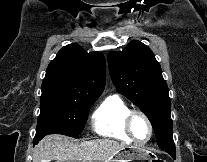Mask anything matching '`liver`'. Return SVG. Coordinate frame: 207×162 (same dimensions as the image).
Segmentation results:
<instances>
[{
	"label": "liver",
	"mask_w": 207,
	"mask_h": 162,
	"mask_svg": "<svg viewBox=\"0 0 207 162\" xmlns=\"http://www.w3.org/2000/svg\"><path fill=\"white\" fill-rule=\"evenodd\" d=\"M126 147V144L110 139L78 142L64 135L53 134L45 136L35 146L33 162H108Z\"/></svg>",
	"instance_id": "6515ba94"
}]
</instances>
